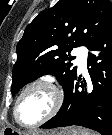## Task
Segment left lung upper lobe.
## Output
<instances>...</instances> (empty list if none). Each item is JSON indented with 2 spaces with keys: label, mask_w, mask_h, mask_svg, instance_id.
Instances as JSON below:
<instances>
[{
  "label": "left lung upper lobe",
  "mask_w": 112,
  "mask_h": 135,
  "mask_svg": "<svg viewBox=\"0 0 112 135\" xmlns=\"http://www.w3.org/2000/svg\"><path fill=\"white\" fill-rule=\"evenodd\" d=\"M111 23L110 0H59L41 11L17 44L12 94L47 74L56 76L65 93L77 71L70 52L90 48Z\"/></svg>",
  "instance_id": "obj_1"
}]
</instances>
